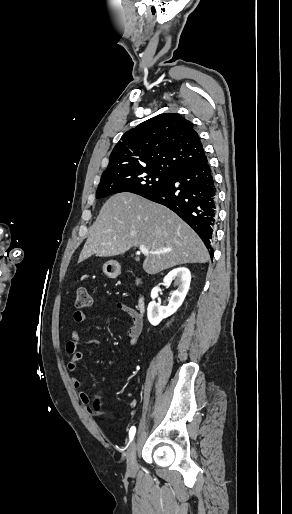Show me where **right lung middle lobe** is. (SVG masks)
Returning a JSON list of instances; mask_svg holds the SVG:
<instances>
[{
	"instance_id": "1",
	"label": "right lung middle lobe",
	"mask_w": 292,
	"mask_h": 514,
	"mask_svg": "<svg viewBox=\"0 0 292 514\" xmlns=\"http://www.w3.org/2000/svg\"><path fill=\"white\" fill-rule=\"evenodd\" d=\"M170 177V174L156 171L103 179L98 186L96 198L120 192H131L142 196L166 183Z\"/></svg>"
}]
</instances>
